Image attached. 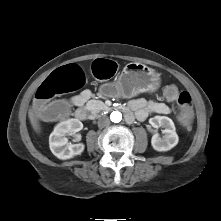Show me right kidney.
<instances>
[{
  "mask_svg": "<svg viewBox=\"0 0 221 221\" xmlns=\"http://www.w3.org/2000/svg\"><path fill=\"white\" fill-rule=\"evenodd\" d=\"M83 124L78 119H69L58 123L49 136V147L51 152L59 159L66 160L84 151V144H72L66 138L67 134H75L82 130Z\"/></svg>",
  "mask_w": 221,
  "mask_h": 221,
  "instance_id": "obj_1",
  "label": "right kidney"
}]
</instances>
